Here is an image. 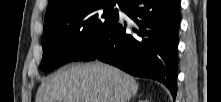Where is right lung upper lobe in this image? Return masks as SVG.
Returning <instances> with one entry per match:
<instances>
[{
    "label": "right lung upper lobe",
    "instance_id": "right-lung-upper-lobe-1",
    "mask_svg": "<svg viewBox=\"0 0 221 102\" xmlns=\"http://www.w3.org/2000/svg\"><path fill=\"white\" fill-rule=\"evenodd\" d=\"M74 1H87V0H49L48 7L46 10V14H45V21L49 20L58 12L68 7ZM117 1L122 2L123 0H117Z\"/></svg>",
    "mask_w": 221,
    "mask_h": 102
}]
</instances>
